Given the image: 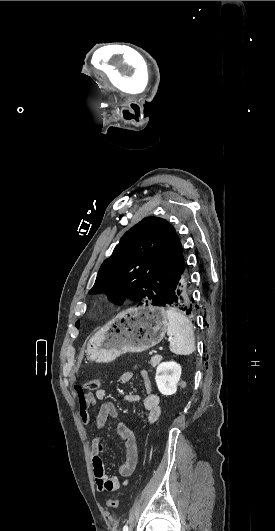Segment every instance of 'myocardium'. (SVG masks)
I'll return each instance as SVG.
<instances>
[{
  "label": "myocardium",
  "mask_w": 275,
  "mask_h": 531,
  "mask_svg": "<svg viewBox=\"0 0 275 531\" xmlns=\"http://www.w3.org/2000/svg\"><path fill=\"white\" fill-rule=\"evenodd\" d=\"M105 309H106V306H104V305H98V306L96 307V312L100 313V312H103Z\"/></svg>",
  "instance_id": "obj_1"
}]
</instances>
